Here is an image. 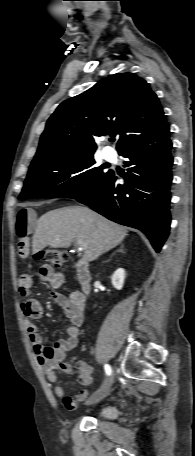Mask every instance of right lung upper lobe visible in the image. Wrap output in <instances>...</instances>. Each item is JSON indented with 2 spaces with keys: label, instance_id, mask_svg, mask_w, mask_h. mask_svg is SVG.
Wrapping results in <instances>:
<instances>
[{
  "label": "right lung upper lobe",
  "instance_id": "cb5924a9",
  "mask_svg": "<svg viewBox=\"0 0 195 456\" xmlns=\"http://www.w3.org/2000/svg\"><path fill=\"white\" fill-rule=\"evenodd\" d=\"M118 135L117 151L169 137L156 94L132 73H118L62 102L47 121L31 166L93 155L98 136Z\"/></svg>",
  "mask_w": 195,
  "mask_h": 456
}]
</instances>
